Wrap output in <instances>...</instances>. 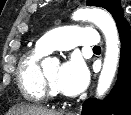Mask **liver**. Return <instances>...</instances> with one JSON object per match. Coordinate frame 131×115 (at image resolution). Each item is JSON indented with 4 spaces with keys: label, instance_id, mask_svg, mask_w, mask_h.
I'll list each match as a JSON object with an SVG mask.
<instances>
[{
    "label": "liver",
    "instance_id": "1",
    "mask_svg": "<svg viewBox=\"0 0 131 115\" xmlns=\"http://www.w3.org/2000/svg\"><path fill=\"white\" fill-rule=\"evenodd\" d=\"M9 114L13 115H60L58 112L46 110L37 106L31 105H20L13 108Z\"/></svg>",
    "mask_w": 131,
    "mask_h": 115
}]
</instances>
